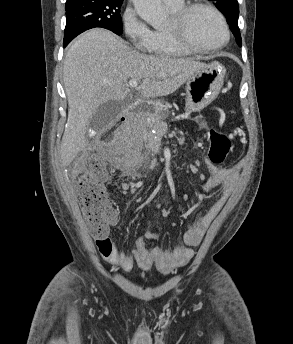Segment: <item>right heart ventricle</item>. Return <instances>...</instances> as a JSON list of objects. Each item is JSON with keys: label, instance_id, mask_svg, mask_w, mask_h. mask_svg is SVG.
Returning a JSON list of instances; mask_svg holds the SVG:
<instances>
[{"label": "right heart ventricle", "instance_id": "1", "mask_svg": "<svg viewBox=\"0 0 293 344\" xmlns=\"http://www.w3.org/2000/svg\"><path fill=\"white\" fill-rule=\"evenodd\" d=\"M184 5V0L175 4L167 5L168 9L173 12ZM149 54L159 57H184L192 54L167 33L166 29L153 31L152 40L146 50Z\"/></svg>", "mask_w": 293, "mask_h": 344}]
</instances>
